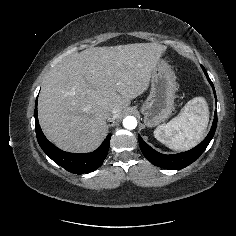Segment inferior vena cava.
Masks as SVG:
<instances>
[{
  "label": "inferior vena cava",
  "instance_id": "inferior-vena-cava-1",
  "mask_svg": "<svg viewBox=\"0 0 236 236\" xmlns=\"http://www.w3.org/2000/svg\"><path fill=\"white\" fill-rule=\"evenodd\" d=\"M117 112H118L117 109H112L111 112L108 114L107 119L110 120V121L115 119L116 116H117Z\"/></svg>",
  "mask_w": 236,
  "mask_h": 236
}]
</instances>
